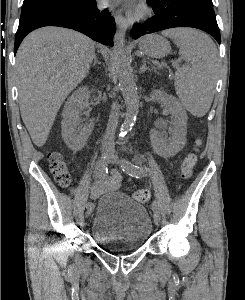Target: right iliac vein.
<instances>
[{
	"label": "right iliac vein",
	"mask_w": 245,
	"mask_h": 300,
	"mask_svg": "<svg viewBox=\"0 0 245 300\" xmlns=\"http://www.w3.org/2000/svg\"><path fill=\"white\" fill-rule=\"evenodd\" d=\"M104 156H105L106 160H108L110 154L108 152H106V153H104ZM93 210H94V204L93 205H87V210L85 212V216L89 217L92 214Z\"/></svg>",
	"instance_id": "obj_1"
}]
</instances>
